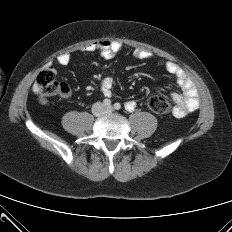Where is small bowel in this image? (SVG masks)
Segmentation results:
<instances>
[{
  "instance_id": "1",
  "label": "small bowel",
  "mask_w": 232,
  "mask_h": 232,
  "mask_svg": "<svg viewBox=\"0 0 232 232\" xmlns=\"http://www.w3.org/2000/svg\"><path fill=\"white\" fill-rule=\"evenodd\" d=\"M123 48L121 42L110 39H103L96 42L88 43L81 48L83 53L99 52L102 57L110 58L119 53ZM134 56L142 61H148L152 59L153 55L150 51L142 48H137L133 52ZM71 61V56L68 53H62L57 57V62L60 66H67ZM166 70L176 78L178 86L181 88V92L171 93V98L175 103L174 115L177 117H183L186 114L195 111L199 107L198 91L193 80L188 76L184 69L178 64L172 61H167L165 64ZM64 92L63 97L70 96L71 91L68 85L62 84ZM100 90L104 96H111L114 90V81L110 75H105L101 78ZM34 92L37 90L34 86ZM41 104H46V99L39 98ZM127 110L131 111L136 107V103L133 100L125 102Z\"/></svg>"
}]
</instances>
